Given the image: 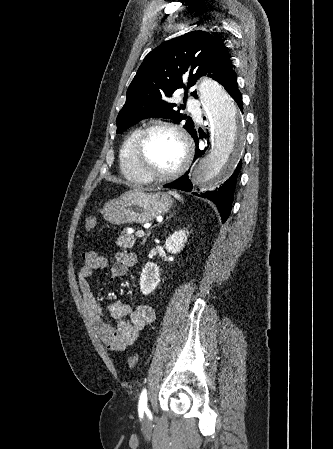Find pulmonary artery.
<instances>
[{
  "instance_id": "pulmonary-artery-1",
  "label": "pulmonary artery",
  "mask_w": 333,
  "mask_h": 449,
  "mask_svg": "<svg viewBox=\"0 0 333 449\" xmlns=\"http://www.w3.org/2000/svg\"><path fill=\"white\" fill-rule=\"evenodd\" d=\"M195 105H196V102L194 101V100H189L188 101V106L192 109V108H194L195 107Z\"/></svg>"
}]
</instances>
